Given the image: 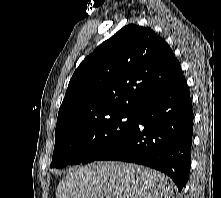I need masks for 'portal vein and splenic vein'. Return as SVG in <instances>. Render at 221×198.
<instances>
[{"instance_id": "obj_1", "label": "portal vein and splenic vein", "mask_w": 221, "mask_h": 198, "mask_svg": "<svg viewBox=\"0 0 221 198\" xmlns=\"http://www.w3.org/2000/svg\"><path fill=\"white\" fill-rule=\"evenodd\" d=\"M106 198H111L110 196H106Z\"/></svg>"}]
</instances>
